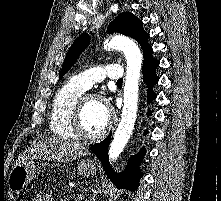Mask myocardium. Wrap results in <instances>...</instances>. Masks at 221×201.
I'll return each mask as SVG.
<instances>
[{"label":"myocardium","mask_w":221,"mask_h":201,"mask_svg":"<svg viewBox=\"0 0 221 201\" xmlns=\"http://www.w3.org/2000/svg\"><path fill=\"white\" fill-rule=\"evenodd\" d=\"M91 100H96L104 104V106L107 108L109 112V122L107 126L99 133L90 135L87 134L84 131L83 124H82V117H83V112L84 109L87 105V103ZM115 119L114 116L112 115L110 111V106L108 101L101 95L99 94H85L82 95L81 98L78 100L73 116H72V130L75 134V136L79 139L86 140V141H96L101 138H103L114 126Z\"/></svg>","instance_id":"myocardium-1"}]
</instances>
